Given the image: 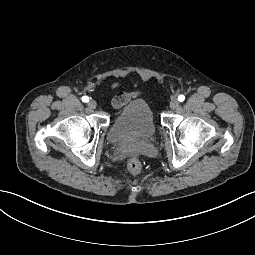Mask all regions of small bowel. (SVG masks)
<instances>
[{"label":"small bowel","instance_id":"1","mask_svg":"<svg viewBox=\"0 0 255 255\" xmlns=\"http://www.w3.org/2000/svg\"><path fill=\"white\" fill-rule=\"evenodd\" d=\"M118 85H119L118 82L113 81V82L110 83L109 88L114 89V88H116ZM133 96H135V94L121 93V94H119L117 97H115V98L113 99L112 104H113V106H114L115 108H119V107H121L124 103H126V102H127L131 97H133Z\"/></svg>","mask_w":255,"mask_h":255}]
</instances>
